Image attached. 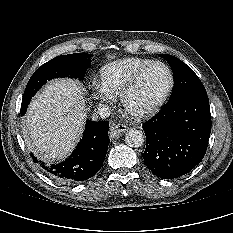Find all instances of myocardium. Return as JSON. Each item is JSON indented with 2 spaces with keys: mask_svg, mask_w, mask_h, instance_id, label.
Masks as SVG:
<instances>
[{
  "mask_svg": "<svg viewBox=\"0 0 233 233\" xmlns=\"http://www.w3.org/2000/svg\"><path fill=\"white\" fill-rule=\"evenodd\" d=\"M153 66H162L167 70L168 75H169L168 86L166 87V89L162 93V95L153 104H151L150 106H148L144 109H141V110H133L129 106V97L132 94V92L135 90L137 85L139 84V82H140L141 78L143 77V75L145 74V72ZM173 86H174V75H173L171 68L166 63H164L162 61H152L151 63L140 68L134 74V76L131 78V80L128 82V84L125 86V88L120 96L123 109L128 115H130L136 119L147 118V117L153 115L154 113H156L160 109V107L164 104V102L166 101V99L170 95V93L173 89Z\"/></svg>",
  "mask_w": 233,
  "mask_h": 233,
  "instance_id": "myocardium-1",
  "label": "myocardium"
}]
</instances>
